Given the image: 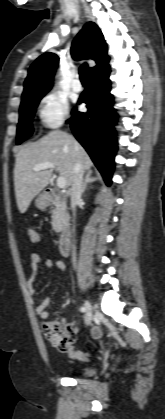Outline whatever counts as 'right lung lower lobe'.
Segmentation results:
<instances>
[{
    "mask_svg": "<svg viewBox=\"0 0 165 419\" xmlns=\"http://www.w3.org/2000/svg\"><path fill=\"white\" fill-rule=\"evenodd\" d=\"M110 68L89 77L88 88L78 103H86V113L72 111L68 120L76 139L86 149L96 167L108 184L114 169V155L117 150L113 125L117 115L113 108V95L110 94Z\"/></svg>",
    "mask_w": 165,
    "mask_h": 419,
    "instance_id": "right-lung-lower-lobe-1",
    "label": "right lung lower lobe"
}]
</instances>
